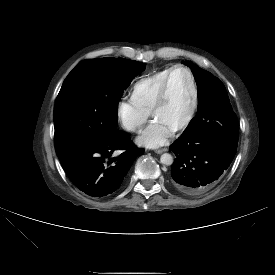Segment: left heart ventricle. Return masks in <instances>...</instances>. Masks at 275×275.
<instances>
[{"label":"left heart ventricle","instance_id":"obj_1","mask_svg":"<svg viewBox=\"0 0 275 275\" xmlns=\"http://www.w3.org/2000/svg\"><path fill=\"white\" fill-rule=\"evenodd\" d=\"M193 94L188 74L176 70L169 81V90L165 103L154 113V117L163 120L173 129L187 117Z\"/></svg>","mask_w":275,"mask_h":275}]
</instances>
